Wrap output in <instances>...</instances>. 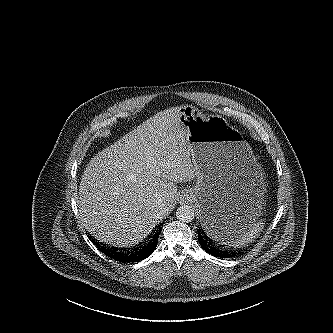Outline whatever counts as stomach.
I'll list each match as a JSON object with an SVG mask.
<instances>
[{
  "label": "stomach",
  "instance_id": "obj_1",
  "mask_svg": "<svg viewBox=\"0 0 333 333\" xmlns=\"http://www.w3.org/2000/svg\"><path fill=\"white\" fill-rule=\"evenodd\" d=\"M179 108L197 174L189 198L201 213V229L217 247H244L256 237L262 215V168L226 119L204 115L191 105Z\"/></svg>",
  "mask_w": 333,
  "mask_h": 333
}]
</instances>
